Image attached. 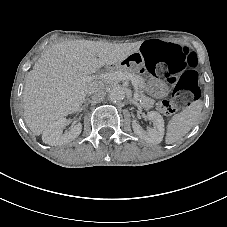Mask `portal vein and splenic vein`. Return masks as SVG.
<instances>
[{"mask_svg":"<svg viewBox=\"0 0 227 227\" xmlns=\"http://www.w3.org/2000/svg\"><path fill=\"white\" fill-rule=\"evenodd\" d=\"M100 78H106L108 80H112V81H125V80H130L132 82V85L135 88L136 93L134 94V100L138 101L139 97L137 94V90H138V84L134 78V76L130 73H124L121 71H116V72H112V73H104L101 74L99 76Z\"/></svg>","mask_w":227,"mask_h":227,"instance_id":"obj_1","label":"portal vein and splenic vein"}]
</instances>
